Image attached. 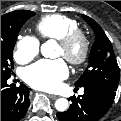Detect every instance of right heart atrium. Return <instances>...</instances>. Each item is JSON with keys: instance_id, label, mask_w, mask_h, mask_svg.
Here are the masks:
<instances>
[{"instance_id": "right-heart-atrium-1", "label": "right heart atrium", "mask_w": 121, "mask_h": 121, "mask_svg": "<svg viewBox=\"0 0 121 121\" xmlns=\"http://www.w3.org/2000/svg\"><path fill=\"white\" fill-rule=\"evenodd\" d=\"M40 44L33 36L21 37L15 46L14 58L20 63H27L39 53Z\"/></svg>"}]
</instances>
